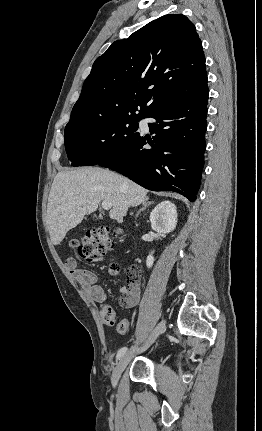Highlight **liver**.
Returning <instances> with one entry per match:
<instances>
[{"label": "liver", "instance_id": "liver-1", "mask_svg": "<svg viewBox=\"0 0 262 431\" xmlns=\"http://www.w3.org/2000/svg\"><path fill=\"white\" fill-rule=\"evenodd\" d=\"M147 200V190L133 181L100 167L60 171L54 178L47 204V228L51 241L58 245L67 232L109 201L111 219L122 222L130 206Z\"/></svg>", "mask_w": 262, "mask_h": 431}]
</instances>
